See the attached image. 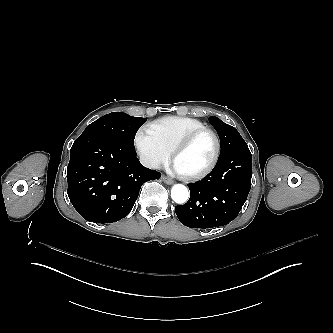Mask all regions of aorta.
I'll list each match as a JSON object with an SVG mask.
<instances>
[{
  "mask_svg": "<svg viewBox=\"0 0 333 333\" xmlns=\"http://www.w3.org/2000/svg\"><path fill=\"white\" fill-rule=\"evenodd\" d=\"M171 198L176 204H185L189 199L188 189L184 185H174L171 189Z\"/></svg>",
  "mask_w": 333,
  "mask_h": 333,
  "instance_id": "obj_1",
  "label": "aorta"
}]
</instances>
